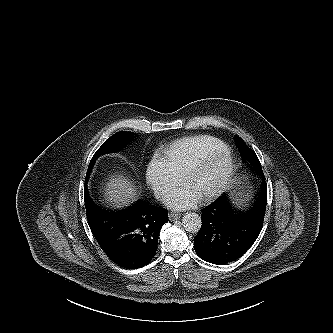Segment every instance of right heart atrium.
<instances>
[{
    "instance_id": "1",
    "label": "right heart atrium",
    "mask_w": 333,
    "mask_h": 333,
    "mask_svg": "<svg viewBox=\"0 0 333 333\" xmlns=\"http://www.w3.org/2000/svg\"><path fill=\"white\" fill-rule=\"evenodd\" d=\"M145 181L156 197L164 199L181 182L161 155H154L149 160L145 170Z\"/></svg>"
}]
</instances>
